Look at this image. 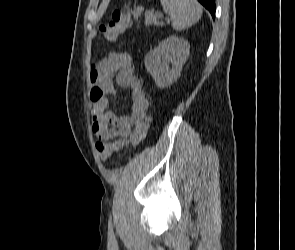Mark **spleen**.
Listing matches in <instances>:
<instances>
[{"mask_svg": "<svg viewBox=\"0 0 295 250\" xmlns=\"http://www.w3.org/2000/svg\"><path fill=\"white\" fill-rule=\"evenodd\" d=\"M163 11L170 16L173 29L181 31L196 23L202 16L197 0H160Z\"/></svg>", "mask_w": 295, "mask_h": 250, "instance_id": "spleen-1", "label": "spleen"}]
</instances>
